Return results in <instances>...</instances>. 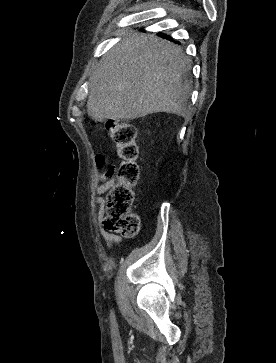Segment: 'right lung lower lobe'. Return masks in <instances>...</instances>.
Here are the masks:
<instances>
[{
	"mask_svg": "<svg viewBox=\"0 0 276 363\" xmlns=\"http://www.w3.org/2000/svg\"><path fill=\"white\" fill-rule=\"evenodd\" d=\"M159 35H160L161 37H163V38H166V39L171 40V38H170L169 36L165 35V34L160 33Z\"/></svg>",
	"mask_w": 276,
	"mask_h": 363,
	"instance_id": "1",
	"label": "right lung lower lobe"
}]
</instances>
